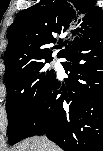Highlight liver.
Masks as SVG:
<instances>
[{"label": "liver", "instance_id": "liver-1", "mask_svg": "<svg viewBox=\"0 0 103 151\" xmlns=\"http://www.w3.org/2000/svg\"><path fill=\"white\" fill-rule=\"evenodd\" d=\"M44 140L45 139L42 137L27 139L17 147L13 148V151H46ZM48 149L51 151H57V148H55L52 144H50Z\"/></svg>", "mask_w": 103, "mask_h": 151}]
</instances>
